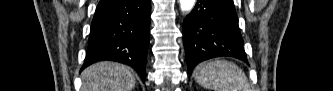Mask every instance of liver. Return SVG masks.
Masks as SVG:
<instances>
[{"mask_svg":"<svg viewBox=\"0 0 333 91\" xmlns=\"http://www.w3.org/2000/svg\"><path fill=\"white\" fill-rule=\"evenodd\" d=\"M82 91H132L136 80L131 69L115 62H98L82 74Z\"/></svg>","mask_w":333,"mask_h":91,"instance_id":"obj_1","label":"liver"}]
</instances>
